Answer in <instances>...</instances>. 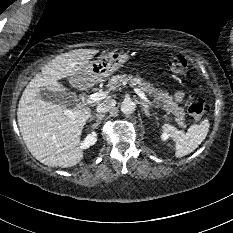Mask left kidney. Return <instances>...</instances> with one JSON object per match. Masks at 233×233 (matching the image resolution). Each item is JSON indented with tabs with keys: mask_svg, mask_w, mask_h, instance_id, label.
I'll return each instance as SVG.
<instances>
[{
	"mask_svg": "<svg viewBox=\"0 0 233 233\" xmlns=\"http://www.w3.org/2000/svg\"><path fill=\"white\" fill-rule=\"evenodd\" d=\"M161 139H162V140H167V139H168V136L162 134V135H161Z\"/></svg>",
	"mask_w": 233,
	"mask_h": 233,
	"instance_id": "5707ae66",
	"label": "left kidney"
}]
</instances>
